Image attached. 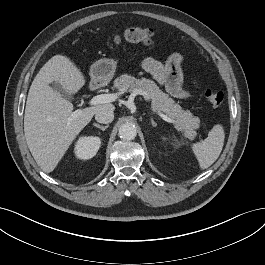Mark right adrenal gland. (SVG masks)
Wrapping results in <instances>:
<instances>
[{"mask_svg":"<svg viewBox=\"0 0 265 265\" xmlns=\"http://www.w3.org/2000/svg\"><path fill=\"white\" fill-rule=\"evenodd\" d=\"M95 127H97V128H99V129H101L102 131H105L109 126L108 125H106V126H101V125H99V124H97V123H94L93 124Z\"/></svg>","mask_w":265,"mask_h":265,"instance_id":"2a0ac1e0","label":"right adrenal gland"}]
</instances>
